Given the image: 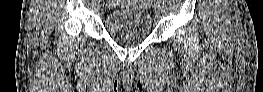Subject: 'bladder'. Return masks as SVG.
I'll list each match as a JSON object with an SVG mask.
<instances>
[{"mask_svg": "<svg viewBox=\"0 0 263 92\" xmlns=\"http://www.w3.org/2000/svg\"><path fill=\"white\" fill-rule=\"evenodd\" d=\"M130 5L109 10L105 28L115 41L130 45L146 39L151 32V17L143 1H125Z\"/></svg>", "mask_w": 263, "mask_h": 92, "instance_id": "31cf9c89", "label": "bladder"}]
</instances>
